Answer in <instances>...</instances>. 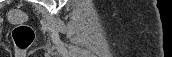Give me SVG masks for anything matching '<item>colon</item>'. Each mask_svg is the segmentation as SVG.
I'll return each mask as SVG.
<instances>
[{"label": "colon", "instance_id": "1", "mask_svg": "<svg viewBox=\"0 0 172 57\" xmlns=\"http://www.w3.org/2000/svg\"><path fill=\"white\" fill-rule=\"evenodd\" d=\"M26 15L20 10H10L8 12L9 21L15 25L12 31V38L16 47L17 57H25V53L32 45L35 39L34 29L24 24Z\"/></svg>", "mask_w": 172, "mask_h": 57}]
</instances>
